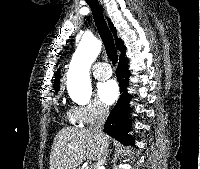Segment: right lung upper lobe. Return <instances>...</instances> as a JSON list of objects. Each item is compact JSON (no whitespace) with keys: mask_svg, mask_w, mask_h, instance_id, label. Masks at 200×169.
<instances>
[{"mask_svg":"<svg viewBox=\"0 0 200 169\" xmlns=\"http://www.w3.org/2000/svg\"><path fill=\"white\" fill-rule=\"evenodd\" d=\"M108 24H109V27H110L112 33L114 34L116 47L118 50L121 51V55L119 58H122L125 56L126 47L124 46L122 40L120 38L116 37L117 31L109 19H108ZM59 87H60V73L58 70L57 74L55 76V84H54L55 91H58Z\"/></svg>","mask_w":200,"mask_h":169,"instance_id":"obj_1","label":"right lung upper lobe"}]
</instances>
